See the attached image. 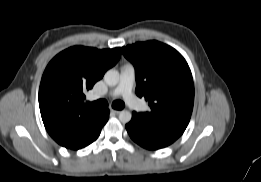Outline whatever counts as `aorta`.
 Segmentation results:
<instances>
[{"instance_id":"aorta-1","label":"aorta","mask_w":261,"mask_h":182,"mask_svg":"<svg viewBox=\"0 0 261 182\" xmlns=\"http://www.w3.org/2000/svg\"><path fill=\"white\" fill-rule=\"evenodd\" d=\"M119 80H120V74L117 70L110 69L104 75V81L109 86L117 85ZM131 118H132V114L130 111L123 110L119 113V120L124 124L130 122Z\"/></svg>"}]
</instances>
